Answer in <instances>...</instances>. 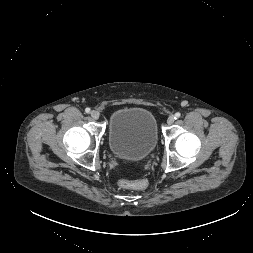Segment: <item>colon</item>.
<instances>
[{"instance_id":"1","label":"colon","mask_w":253,"mask_h":253,"mask_svg":"<svg viewBox=\"0 0 253 253\" xmlns=\"http://www.w3.org/2000/svg\"><path fill=\"white\" fill-rule=\"evenodd\" d=\"M118 185L122 189L143 190L147 187L148 183L144 179L136 181L120 180Z\"/></svg>"}]
</instances>
